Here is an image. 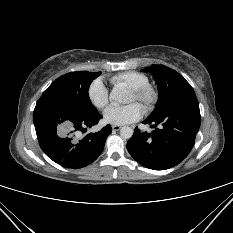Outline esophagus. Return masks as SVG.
<instances>
[{"label":"esophagus","mask_w":233,"mask_h":233,"mask_svg":"<svg viewBox=\"0 0 233 233\" xmlns=\"http://www.w3.org/2000/svg\"><path fill=\"white\" fill-rule=\"evenodd\" d=\"M120 129H121V126H119V125H112V130L114 132L119 131Z\"/></svg>","instance_id":"obj_1"}]
</instances>
